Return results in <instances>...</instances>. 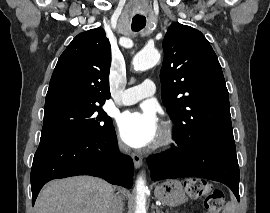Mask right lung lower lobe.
<instances>
[{
  "mask_svg": "<svg viewBox=\"0 0 270 213\" xmlns=\"http://www.w3.org/2000/svg\"><path fill=\"white\" fill-rule=\"evenodd\" d=\"M133 170L132 159L118 151L114 127L100 137H41L31 170L32 204L50 180L91 175L131 188Z\"/></svg>",
  "mask_w": 270,
  "mask_h": 213,
  "instance_id": "obj_1",
  "label": "right lung lower lobe"
}]
</instances>
